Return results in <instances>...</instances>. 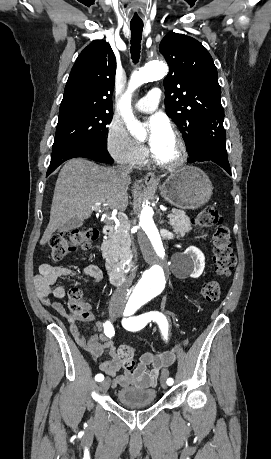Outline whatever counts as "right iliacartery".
I'll use <instances>...</instances> for the list:
<instances>
[{
	"instance_id": "1",
	"label": "right iliac artery",
	"mask_w": 271,
	"mask_h": 459,
	"mask_svg": "<svg viewBox=\"0 0 271 459\" xmlns=\"http://www.w3.org/2000/svg\"><path fill=\"white\" fill-rule=\"evenodd\" d=\"M104 333L107 337L111 338L114 336L115 334V330H114V327L112 326L111 322L110 321H106L104 323ZM95 380L96 381H103L104 380V375L103 374H97L95 376Z\"/></svg>"
}]
</instances>
